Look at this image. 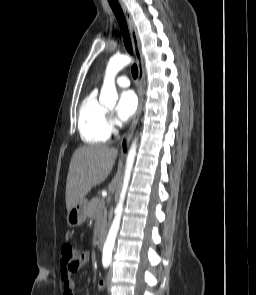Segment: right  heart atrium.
<instances>
[{
  "instance_id": "d8ad5b80",
  "label": "right heart atrium",
  "mask_w": 256,
  "mask_h": 295,
  "mask_svg": "<svg viewBox=\"0 0 256 295\" xmlns=\"http://www.w3.org/2000/svg\"><path fill=\"white\" fill-rule=\"evenodd\" d=\"M108 122H109L110 128L111 129H114V127H115V121H114V119L111 116H109Z\"/></svg>"
}]
</instances>
